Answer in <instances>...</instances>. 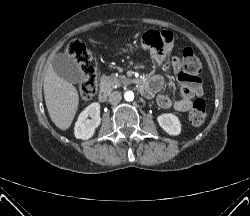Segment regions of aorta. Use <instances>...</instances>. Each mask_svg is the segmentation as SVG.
<instances>
[{
    "label": "aorta",
    "mask_w": 250,
    "mask_h": 216,
    "mask_svg": "<svg viewBox=\"0 0 250 216\" xmlns=\"http://www.w3.org/2000/svg\"><path fill=\"white\" fill-rule=\"evenodd\" d=\"M124 98H125L126 101H133V99H134V93L132 91H127L124 94Z\"/></svg>",
    "instance_id": "1"
}]
</instances>
